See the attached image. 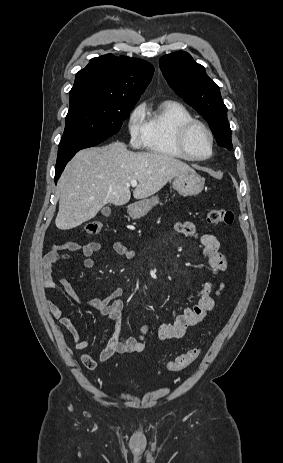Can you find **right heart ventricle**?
I'll return each mask as SVG.
<instances>
[{
  "instance_id": "e07e8e85",
  "label": "right heart ventricle",
  "mask_w": 283,
  "mask_h": 463,
  "mask_svg": "<svg viewBox=\"0 0 283 463\" xmlns=\"http://www.w3.org/2000/svg\"><path fill=\"white\" fill-rule=\"evenodd\" d=\"M193 119L192 113L174 100H165L154 108H147L143 141L145 149L155 155L188 160L177 146V134L182 125Z\"/></svg>"
}]
</instances>
